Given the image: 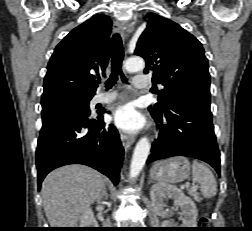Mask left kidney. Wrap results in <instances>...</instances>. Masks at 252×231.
I'll return each instance as SVG.
<instances>
[{
	"label": "left kidney",
	"mask_w": 252,
	"mask_h": 231,
	"mask_svg": "<svg viewBox=\"0 0 252 231\" xmlns=\"http://www.w3.org/2000/svg\"><path fill=\"white\" fill-rule=\"evenodd\" d=\"M150 197L155 212L158 215L165 214V200L172 198L174 204L179 206L182 215V225L180 228H196L198 211L191 198L184 195L178 188L167 184H155L150 190ZM170 227H177L176 224L169 223Z\"/></svg>",
	"instance_id": "left-kidney-1"
}]
</instances>
